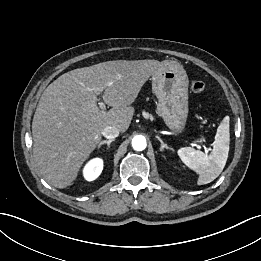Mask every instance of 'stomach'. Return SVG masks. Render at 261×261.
Instances as JSON below:
<instances>
[{
    "label": "stomach",
    "mask_w": 261,
    "mask_h": 261,
    "mask_svg": "<svg viewBox=\"0 0 261 261\" xmlns=\"http://www.w3.org/2000/svg\"><path fill=\"white\" fill-rule=\"evenodd\" d=\"M151 81L152 90L158 99L157 114L173 133H182L189 110V80L186 71L175 61H163Z\"/></svg>",
    "instance_id": "obj_1"
}]
</instances>
